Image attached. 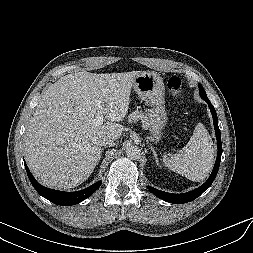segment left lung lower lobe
<instances>
[{"mask_svg":"<svg viewBox=\"0 0 253 253\" xmlns=\"http://www.w3.org/2000/svg\"><path fill=\"white\" fill-rule=\"evenodd\" d=\"M204 101H206L208 103V106L210 108V111H211V114L213 117L216 138H217L218 154H217V159H216L213 171H212L210 177L208 178V180L201 187H199L193 191L184 193V194L166 193V192L157 190L151 186H148V189L153 194H155L157 197H159L169 203L182 204V203H187V202L193 201L194 199H196L198 196H200L205 190H207L211 186V184L213 183V181L217 175V172L219 170L221 155H222V144H221V133H220V129L218 127L217 114H216V111H215L213 105L209 101V99H205Z\"/></svg>","mask_w":253,"mask_h":253,"instance_id":"0a47b994","label":"left lung lower lobe"}]
</instances>
